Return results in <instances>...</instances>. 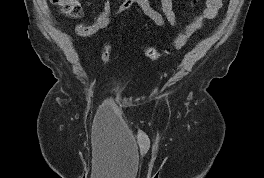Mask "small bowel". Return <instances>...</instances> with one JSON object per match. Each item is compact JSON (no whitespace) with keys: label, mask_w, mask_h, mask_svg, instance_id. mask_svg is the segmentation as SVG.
Instances as JSON below:
<instances>
[{"label":"small bowel","mask_w":264,"mask_h":178,"mask_svg":"<svg viewBox=\"0 0 264 178\" xmlns=\"http://www.w3.org/2000/svg\"><path fill=\"white\" fill-rule=\"evenodd\" d=\"M161 11L154 9L150 0H121L119 5L112 9L110 1L106 0L101 12L97 15L94 22L90 25L79 23L75 27V31L79 36L88 37L96 34L100 30L108 27L114 16H118L127 11L132 6L139 7L145 16H147L155 25L163 27L166 24L174 27L177 24L176 15L173 9L172 0H159ZM222 0H205L204 10L195 16V18L187 26L186 30L192 34L201 28L205 21L214 19L220 8Z\"/></svg>","instance_id":"1"}]
</instances>
